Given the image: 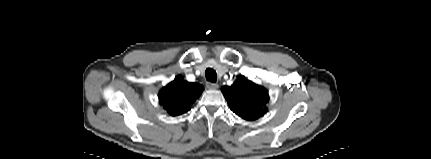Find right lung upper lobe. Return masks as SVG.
<instances>
[{"instance_id": "cb5924a9", "label": "right lung upper lobe", "mask_w": 431, "mask_h": 159, "mask_svg": "<svg viewBox=\"0 0 431 159\" xmlns=\"http://www.w3.org/2000/svg\"><path fill=\"white\" fill-rule=\"evenodd\" d=\"M203 89L202 85L183 81L182 76H177L160 91L159 101L170 115H181L190 110Z\"/></svg>"}]
</instances>
